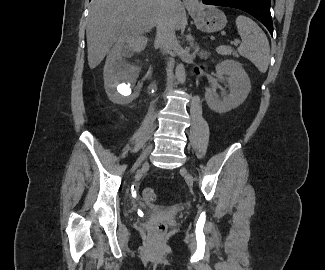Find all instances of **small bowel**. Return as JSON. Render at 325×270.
Returning <instances> with one entry per match:
<instances>
[{
  "label": "small bowel",
  "mask_w": 325,
  "mask_h": 270,
  "mask_svg": "<svg viewBox=\"0 0 325 270\" xmlns=\"http://www.w3.org/2000/svg\"><path fill=\"white\" fill-rule=\"evenodd\" d=\"M202 71V66H196L193 69L194 74L199 75Z\"/></svg>",
  "instance_id": "1"
}]
</instances>
